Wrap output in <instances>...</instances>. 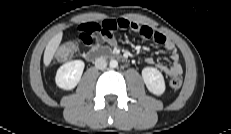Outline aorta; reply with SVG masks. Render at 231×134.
I'll list each match as a JSON object with an SVG mask.
<instances>
[{
    "label": "aorta",
    "mask_w": 231,
    "mask_h": 134,
    "mask_svg": "<svg viewBox=\"0 0 231 134\" xmlns=\"http://www.w3.org/2000/svg\"><path fill=\"white\" fill-rule=\"evenodd\" d=\"M109 66L111 67V68H116V67H118V61L117 60H111L110 61V63H109Z\"/></svg>",
    "instance_id": "762f6f07"
}]
</instances>
